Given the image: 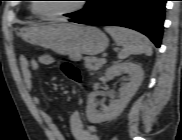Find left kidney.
<instances>
[{"mask_svg":"<svg viewBox=\"0 0 182 140\" xmlns=\"http://www.w3.org/2000/svg\"><path fill=\"white\" fill-rule=\"evenodd\" d=\"M122 73L128 74L129 82L119 89V99L112 101L108 107H101L100 111L96 109L97 90L100 84L96 83L94 85V91L88 96L86 108L87 118L91 123H101L117 117L138 90L144 76L142 67L131 62H116L106 70L105 77L106 79H113Z\"/></svg>","mask_w":182,"mask_h":140,"instance_id":"obj_1","label":"left kidney"}]
</instances>
